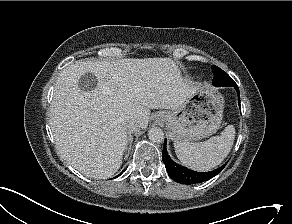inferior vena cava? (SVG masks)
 Masks as SVG:
<instances>
[{"mask_svg": "<svg viewBox=\"0 0 292 224\" xmlns=\"http://www.w3.org/2000/svg\"><path fill=\"white\" fill-rule=\"evenodd\" d=\"M124 129L128 132H134L137 131L139 129V124L136 120L132 119V118H128L126 120H124L122 122Z\"/></svg>", "mask_w": 292, "mask_h": 224, "instance_id": "inferior-vena-cava-1", "label": "inferior vena cava"}]
</instances>
